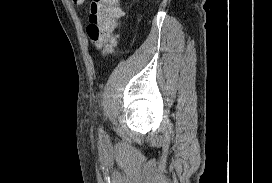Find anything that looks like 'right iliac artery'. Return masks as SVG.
<instances>
[{
    "instance_id": "obj_1",
    "label": "right iliac artery",
    "mask_w": 272,
    "mask_h": 183,
    "mask_svg": "<svg viewBox=\"0 0 272 183\" xmlns=\"http://www.w3.org/2000/svg\"><path fill=\"white\" fill-rule=\"evenodd\" d=\"M100 132L102 133V132H103V130H102V129H100Z\"/></svg>"
}]
</instances>
